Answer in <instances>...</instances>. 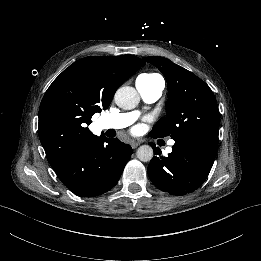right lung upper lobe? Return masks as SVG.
Wrapping results in <instances>:
<instances>
[{
    "label": "right lung upper lobe",
    "instance_id": "cb5924a9",
    "mask_svg": "<svg viewBox=\"0 0 261 261\" xmlns=\"http://www.w3.org/2000/svg\"><path fill=\"white\" fill-rule=\"evenodd\" d=\"M144 64L133 55L90 56L53 81L40 104L38 134L54 170L97 141L86 124L108 108L119 86Z\"/></svg>",
    "mask_w": 261,
    "mask_h": 261
}]
</instances>
